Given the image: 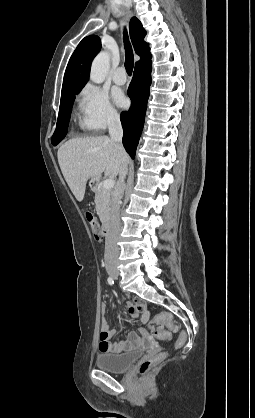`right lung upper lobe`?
Segmentation results:
<instances>
[{
  "instance_id": "cb5924a9",
  "label": "right lung upper lobe",
  "mask_w": 255,
  "mask_h": 418,
  "mask_svg": "<svg viewBox=\"0 0 255 418\" xmlns=\"http://www.w3.org/2000/svg\"><path fill=\"white\" fill-rule=\"evenodd\" d=\"M129 30L135 52L140 56V60L136 62L135 68L150 63L149 45L144 41L146 31L136 17L131 18ZM100 49L101 40L96 35H90L81 40L67 65L62 93L80 90L84 87L89 78L91 62Z\"/></svg>"
}]
</instances>
